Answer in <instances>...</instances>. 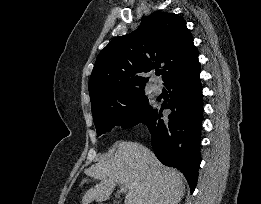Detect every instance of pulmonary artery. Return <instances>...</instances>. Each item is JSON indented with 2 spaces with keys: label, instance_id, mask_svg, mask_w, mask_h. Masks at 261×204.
<instances>
[{
  "label": "pulmonary artery",
  "instance_id": "e3ab8cb5",
  "mask_svg": "<svg viewBox=\"0 0 261 204\" xmlns=\"http://www.w3.org/2000/svg\"><path fill=\"white\" fill-rule=\"evenodd\" d=\"M153 92H154L155 95H160V94L162 93V88H161V86L158 85V84H155V85L153 86Z\"/></svg>",
  "mask_w": 261,
  "mask_h": 204
}]
</instances>
